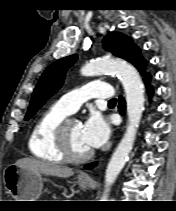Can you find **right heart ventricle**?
<instances>
[{"label":"right heart ventricle","mask_w":176,"mask_h":211,"mask_svg":"<svg viewBox=\"0 0 176 211\" xmlns=\"http://www.w3.org/2000/svg\"><path fill=\"white\" fill-rule=\"evenodd\" d=\"M69 114L58 103H55L39 116L28 140V148L32 156L57 164L65 163L56 145L55 131Z\"/></svg>","instance_id":"right-heart-ventricle-1"}]
</instances>
